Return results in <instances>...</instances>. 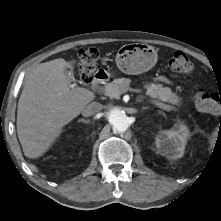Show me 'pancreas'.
Listing matches in <instances>:
<instances>
[{"label":"pancreas","instance_id":"cf45deb5","mask_svg":"<svg viewBox=\"0 0 221 221\" xmlns=\"http://www.w3.org/2000/svg\"><path fill=\"white\" fill-rule=\"evenodd\" d=\"M130 82L131 80L127 78L115 79L111 83L104 86V94L110 98H117L129 90ZM146 94L151 98L177 106H180L182 101V99L176 93H174L171 88L163 87L162 84H149L147 86ZM167 106H169L170 109H175L173 106Z\"/></svg>","mask_w":221,"mask_h":221}]
</instances>
